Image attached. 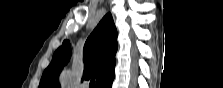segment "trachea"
Returning a JSON list of instances; mask_svg holds the SVG:
<instances>
[{"label": "trachea", "instance_id": "1", "mask_svg": "<svg viewBox=\"0 0 223 88\" xmlns=\"http://www.w3.org/2000/svg\"><path fill=\"white\" fill-rule=\"evenodd\" d=\"M89 86H90V88H94V86H95V80L90 81Z\"/></svg>", "mask_w": 223, "mask_h": 88}]
</instances>
